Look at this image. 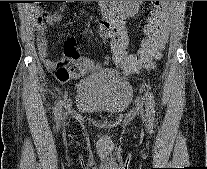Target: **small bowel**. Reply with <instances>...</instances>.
I'll use <instances>...</instances> for the list:
<instances>
[{"label": "small bowel", "instance_id": "1", "mask_svg": "<svg viewBox=\"0 0 207 169\" xmlns=\"http://www.w3.org/2000/svg\"><path fill=\"white\" fill-rule=\"evenodd\" d=\"M72 3L73 1H64ZM142 1H127L124 6H120L116 1H100L104 19L100 24V31H110L115 33V38L111 44L128 38L125 33L124 23L133 17ZM66 12V7H60L58 13H51L45 10H38L35 13V27L37 31V48L46 69L53 73L60 82H67L72 79L85 76L89 73L98 71L102 64L94 62L88 58L80 57L76 47L75 39L72 35L67 36L64 47V54L59 62L53 60L48 52V39L46 31L49 26L59 22ZM111 61L113 62L112 56Z\"/></svg>", "mask_w": 207, "mask_h": 169}]
</instances>
